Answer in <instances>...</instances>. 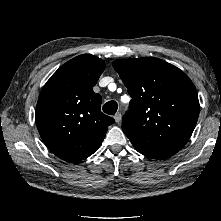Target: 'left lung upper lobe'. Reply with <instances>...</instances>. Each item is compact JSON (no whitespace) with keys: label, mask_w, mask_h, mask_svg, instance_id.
Wrapping results in <instances>:
<instances>
[{"label":"left lung upper lobe","mask_w":221,"mask_h":221,"mask_svg":"<svg viewBox=\"0 0 221 221\" xmlns=\"http://www.w3.org/2000/svg\"><path fill=\"white\" fill-rule=\"evenodd\" d=\"M131 96L122 130L146 157L166 159L190 139L199 115L197 91L179 68L154 57L113 62Z\"/></svg>","instance_id":"5c2ea615"}]
</instances>
